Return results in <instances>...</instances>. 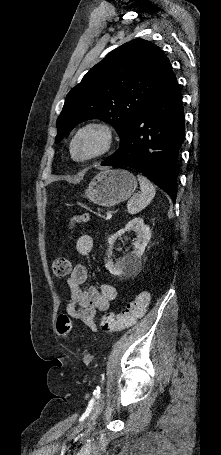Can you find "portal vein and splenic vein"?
<instances>
[{
  "label": "portal vein and splenic vein",
  "mask_w": 221,
  "mask_h": 455,
  "mask_svg": "<svg viewBox=\"0 0 221 455\" xmlns=\"http://www.w3.org/2000/svg\"><path fill=\"white\" fill-rule=\"evenodd\" d=\"M112 218V213L107 212L106 220H110Z\"/></svg>",
  "instance_id": "portal-vein-and-splenic-vein-1"
}]
</instances>
